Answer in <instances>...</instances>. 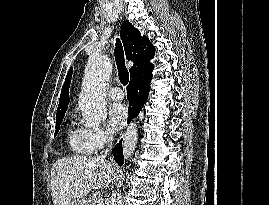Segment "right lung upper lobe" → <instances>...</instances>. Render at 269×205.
I'll return each instance as SVG.
<instances>
[{
    "instance_id": "obj_1",
    "label": "right lung upper lobe",
    "mask_w": 269,
    "mask_h": 205,
    "mask_svg": "<svg viewBox=\"0 0 269 205\" xmlns=\"http://www.w3.org/2000/svg\"><path fill=\"white\" fill-rule=\"evenodd\" d=\"M120 35L123 41L126 58L134 62L130 68L131 79L137 78L143 74L152 72L153 64L150 60L154 57L155 47L151 44L146 36H141L138 29H136L129 21L122 24ZM73 69L71 68L65 79L60 101L57 109L56 118L64 116L69 103V85L71 82Z\"/></svg>"
}]
</instances>
